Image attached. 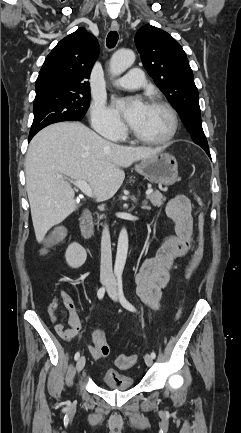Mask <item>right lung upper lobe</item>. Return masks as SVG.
<instances>
[{"label":"right lung upper lobe","instance_id":"cb5924a9","mask_svg":"<svg viewBox=\"0 0 241 433\" xmlns=\"http://www.w3.org/2000/svg\"><path fill=\"white\" fill-rule=\"evenodd\" d=\"M97 39L84 28L62 39L49 53L36 80V98L50 94H87L99 54Z\"/></svg>","mask_w":241,"mask_h":433}]
</instances>
